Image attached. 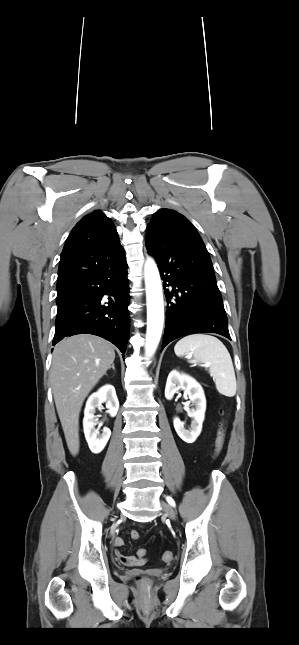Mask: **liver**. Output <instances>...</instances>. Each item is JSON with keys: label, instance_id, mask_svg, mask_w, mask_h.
I'll use <instances>...</instances> for the list:
<instances>
[{"label": "liver", "instance_id": "6515ba94", "mask_svg": "<svg viewBox=\"0 0 299 645\" xmlns=\"http://www.w3.org/2000/svg\"><path fill=\"white\" fill-rule=\"evenodd\" d=\"M114 359L112 344L90 334L65 338L54 348L50 381L66 443L73 456L79 452L82 404Z\"/></svg>", "mask_w": 299, "mask_h": 645}]
</instances>
